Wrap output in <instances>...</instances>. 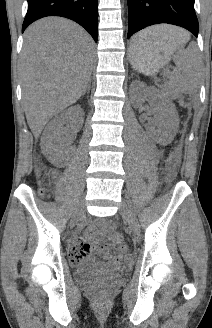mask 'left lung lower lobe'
Listing matches in <instances>:
<instances>
[{"label": "left lung lower lobe", "mask_w": 212, "mask_h": 328, "mask_svg": "<svg viewBox=\"0 0 212 328\" xmlns=\"http://www.w3.org/2000/svg\"><path fill=\"white\" fill-rule=\"evenodd\" d=\"M195 0H127L128 38L139 30L154 24L168 23L183 27L198 36ZM140 44L133 41L132 47Z\"/></svg>", "instance_id": "0a47b994"}]
</instances>
